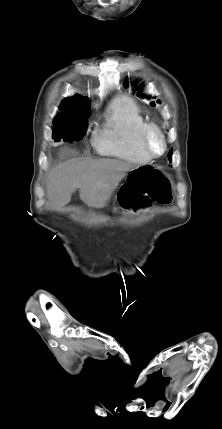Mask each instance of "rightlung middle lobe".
I'll return each mask as SVG.
<instances>
[{
	"instance_id": "1",
	"label": "right lung middle lobe",
	"mask_w": 222,
	"mask_h": 429,
	"mask_svg": "<svg viewBox=\"0 0 222 429\" xmlns=\"http://www.w3.org/2000/svg\"><path fill=\"white\" fill-rule=\"evenodd\" d=\"M90 101L79 95L65 99L60 112L54 119L53 139L55 142L79 141L85 135L87 117L89 115Z\"/></svg>"
}]
</instances>
